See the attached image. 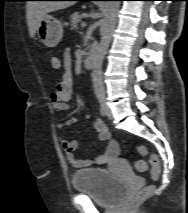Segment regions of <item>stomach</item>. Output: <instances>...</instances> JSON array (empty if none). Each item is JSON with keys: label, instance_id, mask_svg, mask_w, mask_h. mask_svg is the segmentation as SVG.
<instances>
[{"label": "stomach", "instance_id": "0dacf381", "mask_svg": "<svg viewBox=\"0 0 188 213\" xmlns=\"http://www.w3.org/2000/svg\"><path fill=\"white\" fill-rule=\"evenodd\" d=\"M39 40L47 47H55L63 37V25L59 19L45 15L37 27Z\"/></svg>", "mask_w": 188, "mask_h": 213}]
</instances>
